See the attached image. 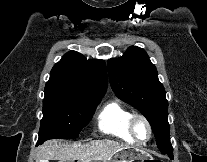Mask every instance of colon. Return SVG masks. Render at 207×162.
<instances>
[{
  "mask_svg": "<svg viewBox=\"0 0 207 162\" xmlns=\"http://www.w3.org/2000/svg\"><path fill=\"white\" fill-rule=\"evenodd\" d=\"M74 162H79V161H74ZM145 162H164L162 160H147Z\"/></svg>",
  "mask_w": 207,
  "mask_h": 162,
  "instance_id": "5ec220e1",
  "label": "colon"
}]
</instances>
